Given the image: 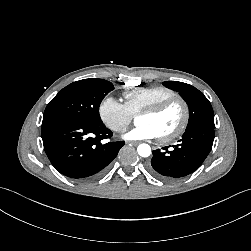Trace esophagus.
Segmentation results:
<instances>
[{
    "label": "esophagus",
    "mask_w": 251,
    "mask_h": 251,
    "mask_svg": "<svg viewBox=\"0 0 251 251\" xmlns=\"http://www.w3.org/2000/svg\"><path fill=\"white\" fill-rule=\"evenodd\" d=\"M128 145H138L139 144V142L138 141H127L126 142Z\"/></svg>",
    "instance_id": "34e87169"
}]
</instances>
